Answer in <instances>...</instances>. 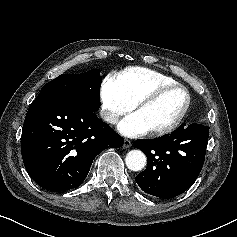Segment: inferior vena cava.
Returning <instances> with one entry per match:
<instances>
[{"label": "inferior vena cava", "instance_id": "inferior-vena-cava-1", "mask_svg": "<svg viewBox=\"0 0 237 237\" xmlns=\"http://www.w3.org/2000/svg\"><path fill=\"white\" fill-rule=\"evenodd\" d=\"M100 116L102 117V119L112 124H115L118 121V116L115 113L108 110H101Z\"/></svg>", "mask_w": 237, "mask_h": 237}]
</instances>
